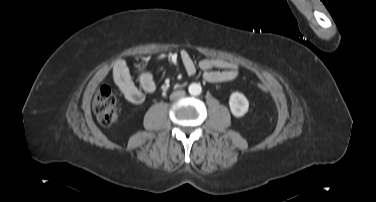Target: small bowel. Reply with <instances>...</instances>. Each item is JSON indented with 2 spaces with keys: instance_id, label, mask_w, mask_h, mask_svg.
Returning <instances> with one entry per match:
<instances>
[{
  "instance_id": "1",
  "label": "small bowel",
  "mask_w": 376,
  "mask_h": 202,
  "mask_svg": "<svg viewBox=\"0 0 376 202\" xmlns=\"http://www.w3.org/2000/svg\"><path fill=\"white\" fill-rule=\"evenodd\" d=\"M178 58L189 75L196 73V64L188 50L182 49L178 53ZM198 67L203 71V79L209 83L232 81L239 74V65L223 58L205 57L199 61ZM112 75L114 83L124 98L134 105L143 103L144 92L151 93L156 88L152 74L146 70L138 73L137 80L140 87L136 86L132 80L129 66L123 59L115 62Z\"/></svg>"
}]
</instances>
